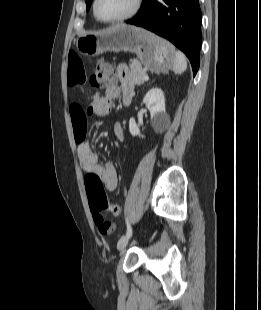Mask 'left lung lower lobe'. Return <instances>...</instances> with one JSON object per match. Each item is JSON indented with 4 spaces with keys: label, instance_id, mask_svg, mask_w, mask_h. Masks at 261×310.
I'll use <instances>...</instances> for the list:
<instances>
[{
    "label": "left lung lower lobe",
    "instance_id": "left-lung-lower-lobe-1",
    "mask_svg": "<svg viewBox=\"0 0 261 310\" xmlns=\"http://www.w3.org/2000/svg\"><path fill=\"white\" fill-rule=\"evenodd\" d=\"M201 21L198 0H143L137 15L126 23L171 41L189 58L195 76L200 63Z\"/></svg>",
    "mask_w": 261,
    "mask_h": 310
}]
</instances>
